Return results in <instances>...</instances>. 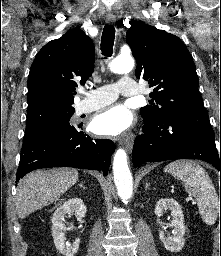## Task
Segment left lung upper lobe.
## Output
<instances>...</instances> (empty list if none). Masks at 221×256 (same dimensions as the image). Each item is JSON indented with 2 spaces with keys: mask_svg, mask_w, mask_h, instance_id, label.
Returning a JSON list of instances; mask_svg holds the SVG:
<instances>
[{
  "mask_svg": "<svg viewBox=\"0 0 221 256\" xmlns=\"http://www.w3.org/2000/svg\"><path fill=\"white\" fill-rule=\"evenodd\" d=\"M126 42L137 61L135 75L153 88L144 120L161 122L173 113L206 114L193 59L175 35L144 23H130ZM155 102V103H154Z\"/></svg>",
  "mask_w": 221,
  "mask_h": 256,
  "instance_id": "1",
  "label": "left lung upper lobe"
}]
</instances>
